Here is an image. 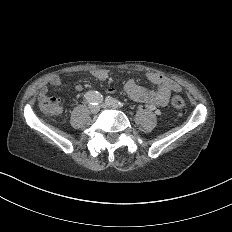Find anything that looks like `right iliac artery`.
<instances>
[{
	"label": "right iliac artery",
	"instance_id": "right-iliac-artery-1",
	"mask_svg": "<svg viewBox=\"0 0 232 232\" xmlns=\"http://www.w3.org/2000/svg\"><path fill=\"white\" fill-rule=\"evenodd\" d=\"M84 98L88 103L92 105H98L103 101V96L98 91L94 90L85 92Z\"/></svg>",
	"mask_w": 232,
	"mask_h": 232
}]
</instances>
